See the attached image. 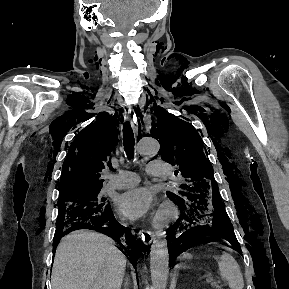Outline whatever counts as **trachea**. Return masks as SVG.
I'll return each instance as SVG.
<instances>
[{
	"label": "trachea",
	"mask_w": 289,
	"mask_h": 289,
	"mask_svg": "<svg viewBox=\"0 0 289 289\" xmlns=\"http://www.w3.org/2000/svg\"><path fill=\"white\" fill-rule=\"evenodd\" d=\"M135 139L130 122H126L123 126V146L128 159L134 157Z\"/></svg>",
	"instance_id": "trachea-1"
}]
</instances>
